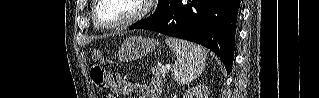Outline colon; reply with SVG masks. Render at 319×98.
Returning a JSON list of instances; mask_svg holds the SVG:
<instances>
[{
    "label": "colon",
    "instance_id": "5ec220e1",
    "mask_svg": "<svg viewBox=\"0 0 319 98\" xmlns=\"http://www.w3.org/2000/svg\"><path fill=\"white\" fill-rule=\"evenodd\" d=\"M91 55L95 61V64L91 68L92 80L98 87H104L107 81V74L102 66L98 63L102 58L101 51L98 49H93L91 51Z\"/></svg>",
    "mask_w": 319,
    "mask_h": 98
}]
</instances>
